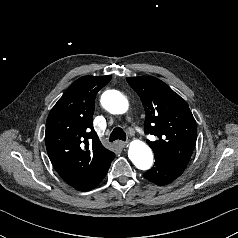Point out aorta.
Returning a JSON list of instances; mask_svg holds the SVG:
<instances>
[{
  "label": "aorta",
  "instance_id": "aorta-1",
  "mask_svg": "<svg viewBox=\"0 0 238 238\" xmlns=\"http://www.w3.org/2000/svg\"><path fill=\"white\" fill-rule=\"evenodd\" d=\"M101 104L107 111L113 114H123L129 107L128 100L116 90L104 92L101 97ZM128 157L141 170H148L153 163V154L150 147L140 140L130 143Z\"/></svg>",
  "mask_w": 238,
  "mask_h": 238
}]
</instances>
